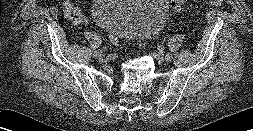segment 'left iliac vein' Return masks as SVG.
Returning a JSON list of instances; mask_svg holds the SVG:
<instances>
[{
    "label": "left iliac vein",
    "instance_id": "4c4485c4",
    "mask_svg": "<svg viewBox=\"0 0 253 131\" xmlns=\"http://www.w3.org/2000/svg\"><path fill=\"white\" fill-rule=\"evenodd\" d=\"M152 55L159 62H163L165 60L170 61L172 59L171 54L164 55V53L162 52L156 51V52H153Z\"/></svg>",
    "mask_w": 253,
    "mask_h": 131
}]
</instances>
